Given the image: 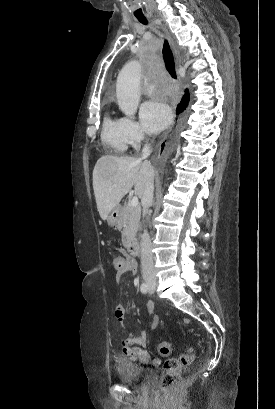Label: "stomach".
I'll return each instance as SVG.
<instances>
[{
    "instance_id": "obj_1",
    "label": "stomach",
    "mask_w": 275,
    "mask_h": 409,
    "mask_svg": "<svg viewBox=\"0 0 275 409\" xmlns=\"http://www.w3.org/2000/svg\"><path fill=\"white\" fill-rule=\"evenodd\" d=\"M121 211H122V207H120V205H117V207H114V209L110 211L107 217V223L109 227H117L119 223Z\"/></svg>"
}]
</instances>
